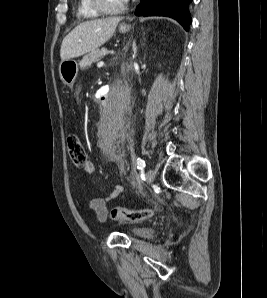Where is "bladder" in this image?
I'll list each match as a JSON object with an SVG mask.
<instances>
[{
	"label": "bladder",
	"instance_id": "obj_1",
	"mask_svg": "<svg viewBox=\"0 0 267 298\" xmlns=\"http://www.w3.org/2000/svg\"><path fill=\"white\" fill-rule=\"evenodd\" d=\"M131 234L141 239H151L154 236V231L150 227H135L131 229Z\"/></svg>",
	"mask_w": 267,
	"mask_h": 298
}]
</instances>
